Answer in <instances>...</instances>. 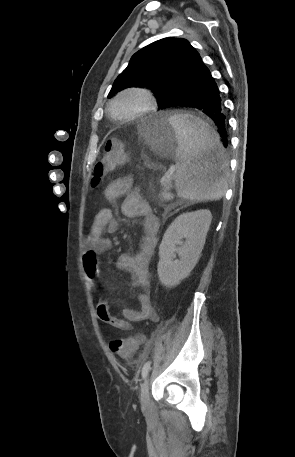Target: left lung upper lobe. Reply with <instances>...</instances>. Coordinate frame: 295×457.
<instances>
[{
    "instance_id": "1",
    "label": "left lung upper lobe",
    "mask_w": 295,
    "mask_h": 457,
    "mask_svg": "<svg viewBox=\"0 0 295 457\" xmlns=\"http://www.w3.org/2000/svg\"><path fill=\"white\" fill-rule=\"evenodd\" d=\"M199 56L186 39L155 41L131 57L108 96L128 87H147L163 108L171 97L187 88L189 72Z\"/></svg>"
}]
</instances>
